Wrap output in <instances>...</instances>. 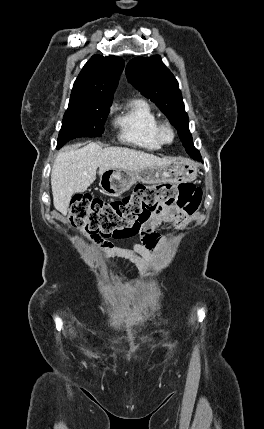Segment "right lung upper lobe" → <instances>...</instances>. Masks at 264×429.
<instances>
[{
	"label": "right lung upper lobe",
	"instance_id": "obj_1",
	"mask_svg": "<svg viewBox=\"0 0 264 429\" xmlns=\"http://www.w3.org/2000/svg\"><path fill=\"white\" fill-rule=\"evenodd\" d=\"M123 67L118 56H92L74 82L71 98L112 101Z\"/></svg>",
	"mask_w": 264,
	"mask_h": 429
}]
</instances>
